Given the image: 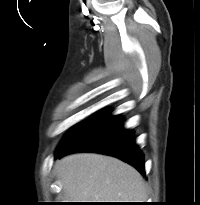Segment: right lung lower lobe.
Segmentation results:
<instances>
[{
    "mask_svg": "<svg viewBox=\"0 0 200 205\" xmlns=\"http://www.w3.org/2000/svg\"><path fill=\"white\" fill-rule=\"evenodd\" d=\"M122 119L106 113L66 145L60 147L56 158L73 152H97L117 157L134 166L145 175L143 154L135 144L133 132L124 130Z\"/></svg>",
    "mask_w": 200,
    "mask_h": 205,
    "instance_id": "obj_1",
    "label": "right lung lower lobe"
}]
</instances>
